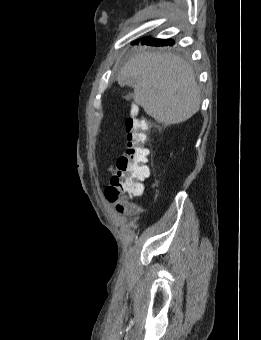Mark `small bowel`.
Segmentation results:
<instances>
[{
  "label": "small bowel",
  "mask_w": 261,
  "mask_h": 340,
  "mask_svg": "<svg viewBox=\"0 0 261 340\" xmlns=\"http://www.w3.org/2000/svg\"><path fill=\"white\" fill-rule=\"evenodd\" d=\"M114 171H115V166H111V167L109 168V170H108V172H109L110 174L114 173Z\"/></svg>",
  "instance_id": "1"
}]
</instances>
